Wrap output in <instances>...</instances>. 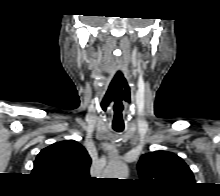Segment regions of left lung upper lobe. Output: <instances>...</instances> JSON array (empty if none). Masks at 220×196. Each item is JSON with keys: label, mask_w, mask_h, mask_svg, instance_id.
Segmentation results:
<instances>
[{"label": "left lung upper lobe", "mask_w": 220, "mask_h": 196, "mask_svg": "<svg viewBox=\"0 0 220 196\" xmlns=\"http://www.w3.org/2000/svg\"><path fill=\"white\" fill-rule=\"evenodd\" d=\"M138 173L143 182L164 192H181L195 183L187 164L179 156L167 151L142 155L138 162Z\"/></svg>", "instance_id": "1"}]
</instances>
